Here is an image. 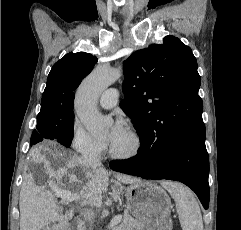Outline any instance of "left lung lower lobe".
Segmentation results:
<instances>
[{
    "mask_svg": "<svg viewBox=\"0 0 241 230\" xmlns=\"http://www.w3.org/2000/svg\"><path fill=\"white\" fill-rule=\"evenodd\" d=\"M136 156L110 162L114 171L151 180H175L190 187L209 206V156L205 139L140 142Z\"/></svg>",
    "mask_w": 241,
    "mask_h": 230,
    "instance_id": "1",
    "label": "left lung lower lobe"
}]
</instances>
